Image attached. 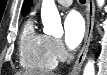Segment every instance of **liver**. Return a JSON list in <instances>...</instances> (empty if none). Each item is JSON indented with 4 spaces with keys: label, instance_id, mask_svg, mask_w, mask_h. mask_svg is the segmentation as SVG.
Wrapping results in <instances>:
<instances>
[{
    "label": "liver",
    "instance_id": "6515ba94",
    "mask_svg": "<svg viewBox=\"0 0 107 75\" xmlns=\"http://www.w3.org/2000/svg\"><path fill=\"white\" fill-rule=\"evenodd\" d=\"M16 75H28L26 72H19ZM50 75H55V74H50Z\"/></svg>",
    "mask_w": 107,
    "mask_h": 75
}]
</instances>
